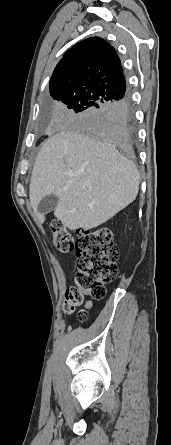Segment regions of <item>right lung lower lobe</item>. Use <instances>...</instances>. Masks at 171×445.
I'll return each instance as SVG.
<instances>
[{
  "mask_svg": "<svg viewBox=\"0 0 171 445\" xmlns=\"http://www.w3.org/2000/svg\"><path fill=\"white\" fill-rule=\"evenodd\" d=\"M97 127L103 139L130 151L133 128L129 97L122 100H108L97 116Z\"/></svg>",
  "mask_w": 171,
  "mask_h": 445,
  "instance_id": "obj_1",
  "label": "right lung lower lobe"
}]
</instances>
